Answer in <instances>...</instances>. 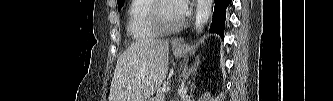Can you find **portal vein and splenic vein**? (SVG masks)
<instances>
[{"mask_svg": "<svg viewBox=\"0 0 333 101\" xmlns=\"http://www.w3.org/2000/svg\"><path fill=\"white\" fill-rule=\"evenodd\" d=\"M168 91H170V88H169V87H165V88H163V92H168Z\"/></svg>", "mask_w": 333, "mask_h": 101, "instance_id": "18ae733b", "label": "portal vein and splenic vein"}]
</instances>
